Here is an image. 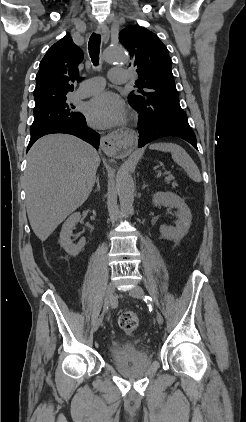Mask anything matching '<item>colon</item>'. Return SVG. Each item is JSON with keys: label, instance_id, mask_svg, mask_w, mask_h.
<instances>
[{"label": "colon", "instance_id": "1", "mask_svg": "<svg viewBox=\"0 0 246 422\" xmlns=\"http://www.w3.org/2000/svg\"><path fill=\"white\" fill-rule=\"evenodd\" d=\"M118 324L125 333H132L138 327V318L133 312H124L120 315Z\"/></svg>", "mask_w": 246, "mask_h": 422}]
</instances>
